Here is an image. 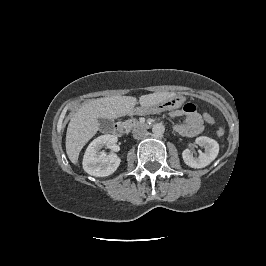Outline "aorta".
I'll return each instance as SVG.
<instances>
[{
    "label": "aorta",
    "mask_w": 266,
    "mask_h": 266,
    "mask_svg": "<svg viewBox=\"0 0 266 266\" xmlns=\"http://www.w3.org/2000/svg\"><path fill=\"white\" fill-rule=\"evenodd\" d=\"M152 132L156 136H161L165 132V127L162 123L154 124L152 127Z\"/></svg>",
    "instance_id": "762f6f07"
}]
</instances>
